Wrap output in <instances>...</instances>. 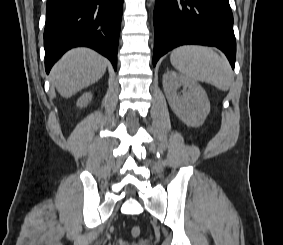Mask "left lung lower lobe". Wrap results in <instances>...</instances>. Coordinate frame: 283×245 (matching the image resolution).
<instances>
[{"label":"left lung lower lobe","instance_id":"0a47b994","mask_svg":"<svg viewBox=\"0 0 283 245\" xmlns=\"http://www.w3.org/2000/svg\"><path fill=\"white\" fill-rule=\"evenodd\" d=\"M153 65L184 44L215 46L234 69L236 41L228 0H156Z\"/></svg>","mask_w":283,"mask_h":245}]
</instances>
